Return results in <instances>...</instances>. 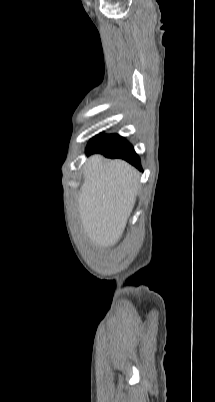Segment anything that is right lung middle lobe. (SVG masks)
<instances>
[{
    "instance_id": "right-lung-middle-lobe-1",
    "label": "right lung middle lobe",
    "mask_w": 215,
    "mask_h": 402,
    "mask_svg": "<svg viewBox=\"0 0 215 402\" xmlns=\"http://www.w3.org/2000/svg\"><path fill=\"white\" fill-rule=\"evenodd\" d=\"M122 139L121 136L118 134H111V135H104L100 134L97 135L96 137L92 138L89 142L88 145H94V146H99V145H113L117 142H119Z\"/></svg>"
}]
</instances>
